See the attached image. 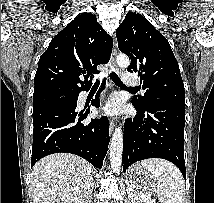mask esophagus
Segmentation results:
<instances>
[{
    "mask_svg": "<svg viewBox=\"0 0 214 203\" xmlns=\"http://www.w3.org/2000/svg\"><path fill=\"white\" fill-rule=\"evenodd\" d=\"M116 56H117V44H116V38L114 36L113 37V50H112V54H111L110 65H111L112 69L117 74H119L120 69L116 65ZM109 130H110V134H112V132L114 131V121L113 120L110 121Z\"/></svg>",
    "mask_w": 214,
    "mask_h": 203,
    "instance_id": "esophagus-1",
    "label": "esophagus"
}]
</instances>
